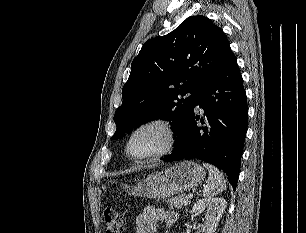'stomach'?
<instances>
[{"instance_id":"stomach-1","label":"stomach","mask_w":306,"mask_h":233,"mask_svg":"<svg viewBox=\"0 0 306 233\" xmlns=\"http://www.w3.org/2000/svg\"><path fill=\"white\" fill-rule=\"evenodd\" d=\"M205 170L193 161H182L165 170L149 175L133 187H125L129 194L149 198H166L199 185Z\"/></svg>"}]
</instances>
